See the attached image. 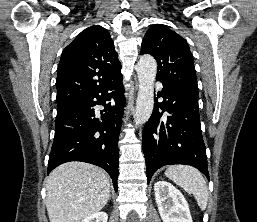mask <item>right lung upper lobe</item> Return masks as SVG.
<instances>
[{"label":"right lung upper lobe","mask_w":257,"mask_h":222,"mask_svg":"<svg viewBox=\"0 0 257 222\" xmlns=\"http://www.w3.org/2000/svg\"><path fill=\"white\" fill-rule=\"evenodd\" d=\"M120 70L109 32L97 25L85 29L62 52L56 79L57 105L73 104L92 95Z\"/></svg>","instance_id":"cb5924a9"}]
</instances>
